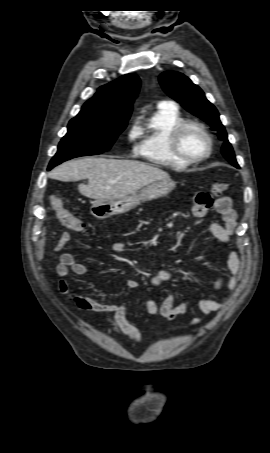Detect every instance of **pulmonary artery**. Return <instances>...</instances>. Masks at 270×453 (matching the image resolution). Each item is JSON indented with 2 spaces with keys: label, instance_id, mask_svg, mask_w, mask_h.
Here are the masks:
<instances>
[{
  "label": "pulmonary artery",
  "instance_id": "obj_1",
  "mask_svg": "<svg viewBox=\"0 0 270 453\" xmlns=\"http://www.w3.org/2000/svg\"><path fill=\"white\" fill-rule=\"evenodd\" d=\"M166 105H169V104L166 103V102H162V103L159 104V106H166Z\"/></svg>",
  "mask_w": 270,
  "mask_h": 453
}]
</instances>
